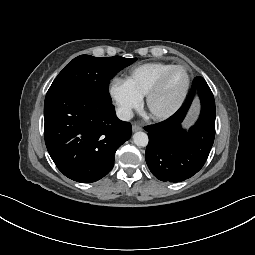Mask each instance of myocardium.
<instances>
[{
    "label": "myocardium",
    "instance_id": "1",
    "mask_svg": "<svg viewBox=\"0 0 255 255\" xmlns=\"http://www.w3.org/2000/svg\"><path fill=\"white\" fill-rule=\"evenodd\" d=\"M177 69H182L185 71L186 75H187V82L186 85L184 87L183 92L181 93L180 97L178 98V100L176 101V103L167 111L164 112H157L154 111L151 107L152 101L155 98V96L161 91V89L163 88L167 78L169 77V75ZM190 86H191V75L189 70L183 66V65H174L171 68H169L167 71H165L159 78L158 80L155 82V84L150 88V90L147 92L146 94V99H145V103H146V107L149 110V112L151 113V115L156 118V119H167L171 116H173L183 105V103L185 102L187 95L189 93L190 90Z\"/></svg>",
    "mask_w": 255,
    "mask_h": 255
}]
</instances>
